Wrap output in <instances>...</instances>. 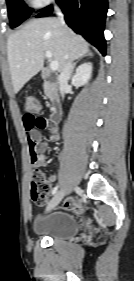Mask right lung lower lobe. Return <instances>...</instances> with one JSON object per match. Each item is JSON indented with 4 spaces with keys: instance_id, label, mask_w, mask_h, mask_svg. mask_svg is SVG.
Segmentation results:
<instances>
[{
    "instance_id": "obj_1",
    "label": "right lung lower lobe",
    "mask_w": 134,
    "mask_h": 281,
    "mask_svg": "<svg viewBox=\"0 0 134 281\" xmlns=\"http://www.w3.org/2000/svg\"><path fill=\"white\" fill-rule=\"evenodd\" d=\"M65 14L66 23L76 33L83 35L105 55L104 23L107 0H56ZM52 13L49 6L36 17H46Z\"/></svg>"
}]
</instances>
